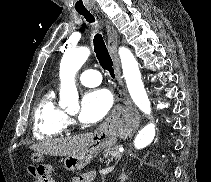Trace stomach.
Masks as SVG:
<instances>
[{
	"label": "stomach",
	"instance_id": "0dacf381",
	"mask_svg": "<svg viewBox=\"0 0 211 182\" xmlns=\"http://www.w3.org/2000/svg\"><path fill=\"white\" fill-rule=\"evenodd\" d=\"M117 137L118 133L110 127L97 131L84 149L65 158L64 167L68 171H79L83 169L92 161L99 151L114 146ZM32 160L35 162L41 161L42 154H33Z\"/></svg>",
	"mask_w": 211,
	"mask_h": 182
}]
</instances>
